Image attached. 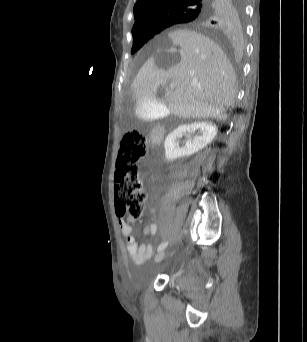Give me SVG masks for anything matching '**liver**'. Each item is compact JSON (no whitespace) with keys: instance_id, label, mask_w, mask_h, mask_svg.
I'll return each instance as SVG.
<instances>
[{"instance_id":"1","label":"liver","mask_w":307,"mask_h":342,"mask_svg":"<svg viewBox=\"0 0 307 342\" xmlns=\"http://www.w3.org/2000/svg\"><path fill=\"white\" fill-rule=\"evenodd\" d=\"M140 68L130 90L153 95L168 80L176 88L165 92L167 105L178 118L227 120L224 106H233L236 76L226 54L210 38L191 30H174Z\"/></svg>"}]
</instances>
